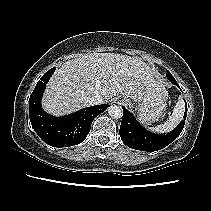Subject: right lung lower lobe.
Returning <instances> with one entry per match:
<instances>
[{"mask_svg": "<svg viewBox=\"0 0 211 211\" xmlns=\"http://www.w3.org/2000/svg\"><path fill=\"white\" fill-rule=\"evenodd\" d=\"M54 71L55 67L42 76L30 96L31 125L39 137L50 146L58 148L74 146L85 140L94 118L104 112L109 105L87 107L63 117H54L44 112L41 98Z\"/></svg>", "mask_w": 211, "mask_h": 211, "instance_id": "right-lung-lower-lobe-1", "label": "right lung lower lobe"}]
</instances>
